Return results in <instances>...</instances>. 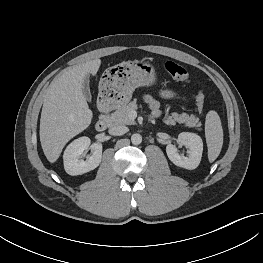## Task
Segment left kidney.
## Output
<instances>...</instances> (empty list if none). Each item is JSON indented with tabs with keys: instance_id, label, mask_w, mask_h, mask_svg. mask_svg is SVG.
Masks as SVG:
<instances>
[{
	"instance_id": "5707ae66",
	"label": "left kidney",
	"mask_w": 263,
	"mask_h": 263,
	"mask_svg": "<svg viewBox=\"0 0 263 263\" xmlns=\"http://www.w3.org/2000/svg\"><path fill=\"white\" fill-rule=\"evenodd\" d=\"M177 143L189 149V156L180 155L173 144L166 146V153L170 161L178 167L193 170L198 167L202 152L203 142L199 135L190 132H182L178 135Z\"/></svg>"
}]
</instances>
